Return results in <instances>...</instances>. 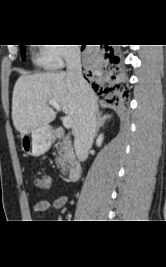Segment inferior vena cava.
I'll use <instances>...</instances> for the list:
<instances>
[{
	"label": "inferior vena cava",
	"instance_id": "inferior-vena-cava-1",
	"mask_svg": "<svg viewBox=\"0 0 166 267\" xmlns=\"http://www.w3.org/2000/svg\"><path fill=\"white\" fill-rule=\"evenodd\" d=\"M67 75L83 95L80 110V121L75 133L74 148L80 161L88 157V150L91 148L96 131L95 104L92 91L84 80L81 70L80 49L71 48L66 55Z\"/></svg>",
	"mask_w": 166,
	"mask_h": 267
}]
</instances>
